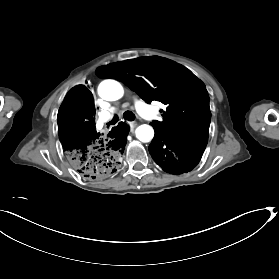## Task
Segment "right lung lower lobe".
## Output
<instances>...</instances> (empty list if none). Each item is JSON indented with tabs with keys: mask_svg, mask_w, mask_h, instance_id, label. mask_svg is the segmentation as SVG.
Masks as SVG:
<instances>
[{
	"mask_svg": "<svg viewBox=\"0 0 279 279\" xmlns=\"http://www.w3.org/2000/svg\"><path fill=\"white\" fill-rule=\"evenodd\" d=\"M91 92L72 88L57 116L58 134L70 165L88 178H108L117 171L127 141V125L120 122L107 136L97 133Z\"/></svg>",
	"mask_w": 279,
	"mask_h": 279,
	"instance_id": "98d812e1",
	"label": "right lung lower lobe"
}]
</instances>
